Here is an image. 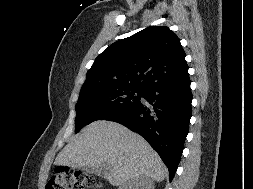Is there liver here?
I'll return each mask as SVG.
<instances>
[{"mask_svg": "<svg viewBox=\"0 0 253 189\" xmlns=\"http://www.w3.org/2000/svg\"><path fill=\"white\" fill-rule=\"evenodd\" d=\"M54 164L103 169L113 186L137 177L161 182L167 176L166 166L146 140L106 120L86 126L58 154Z\"/></svg>", "mask_w": 253, "mask_h": 189, "instance_id": "6515ba94", "label": "liver"}]
</instances>
